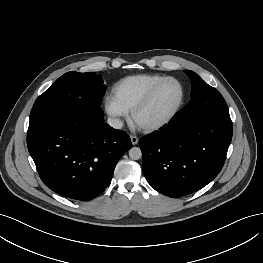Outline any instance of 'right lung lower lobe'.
<instances>
[{
	"label": "right lung lower lobe",
	"instance_id": "1",
	"mask_svg": "<svg viewBox=\"0 0 263 263\" xmlns=\"http://www.w3.org/2000/svg\"><path fill=\"white\" fill-rule=\"evenodd\" d=\"M100 107L61 117L27 135L29 153L44 184L57 194L90 200L109 185L130 137L104 123Z\"/></svg>",
	"mask_w": 263,
	"mask_h": 263
}]
</instances>
